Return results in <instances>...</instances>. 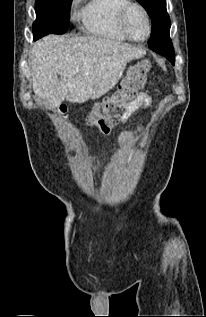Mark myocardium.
Instances as JSON below:
<instances>
[{
    "label": "myocardium",
    "instance_id": "obj_1",
    "mask_svg": "<svg viewBox=\"0 0 206 317\" xmlns=\"http://www.w3.org/2000/svg\"><path fill=\"white\" fill-rule=\"evenodd\" d=\"M133 8H138L144 15L147 23V34L144 38L142 39H137L134 38L127 30L126 28V19ZM117 27L121 34L125 36L127 39L134 41V42H144L146 41L151 34L152 31V23H151V17L148 12V10L139 2L136 1H129L127 4H125L119 11L118 16H117Z\"/></svg>",
    "mask_w": 206,
    "mask_h": 317
}]
</instances>
